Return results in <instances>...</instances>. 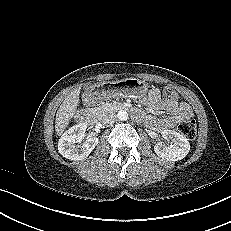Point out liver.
I'll return each instance as SVG.
<instances>
[{"label": "liver", "instance_id": "obj_1", "mask_svg": "<svg viewBox=\"0 0 231 231\" xmlns=\"http://www.w3.org/2000/svg\"><path fill=\"white\" fill-rule=\"evenodd\" d=\"M79 90L69 93L60 105L55 119V131L57 135H62L69 125L71 118L74 116L79 105Z\"/></svg>", "mask_w": 231, "mask_h": 231}]
</instances>
